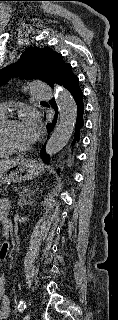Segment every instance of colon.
<instances>
[{
	"mask_svg": "<svg viewBox=\"0 0 118 320\" xmlns=\"http://www.w3.org/2000/svg\"><path fill=\"white\" fill-rule=\"evenodd\" d=\"M4 257L3 253H0V259H2Z\"/></svg>",
	"mask_w": 118,
	"mask_h": 320,
	"instance_id": "5ec220e1",
	"label": "colon"
}]
</instances>
